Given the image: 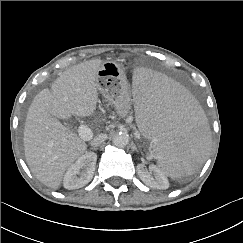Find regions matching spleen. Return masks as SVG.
I'll return each mask as SVG.
<instances>
[{
    "mask_svg": "<svg viewBox=\"0 0 243 243\" xmlns=\"http://www.w3.org/2000/svg\"><path fill=\"white\" fill-rule=\"evenodd\" d=\"M130 106L136 129L159 161L158 169L178 178L192 174L208 154L209 129L194 98L174 78L148 67L131 77Z\"/></svg>",
    "mask_w": 243,
    "mask_h": 243,
    "instance_id": "3e777b00",
    "label": "spleen"
}]
</instances>
